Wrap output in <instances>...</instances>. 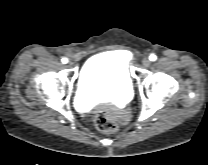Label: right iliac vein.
I'll return each instance as SVG.
<instances>
[{"label":"right iliac vein","instance_id":"obj_1","mask_svg":"<svg viewBox=\"0 0 208 165\" xmlns=\"http://www.w3.org/2000/svg\"><path fill=\"white\" fill-rule=\"evenodd\" d=\"M72 64H73L72 62H68V65H69V66H72Z\"/></svg>","mask_w":208,"mask_h":165}]
</instances>
